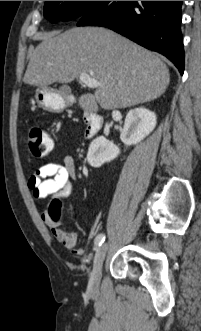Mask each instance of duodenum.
<instances>
[{
    "mask_svg": "<svg viewBox=\"0 0 201 331\" xmlns=\"http://www.w3.org/2000/svg\"><path fill=\"white\" fill-rule=\"evenodd\" d=\"M83 119L86 124L84 136L86 139H92L101 129L103 124V117L99 114L85 111L83 113Z\"/></svg>",
    "mask_w": 201,
    "mask_h": 331,
    "instance_id": "410a0bca",
    "label": "duodenum"
}]
</instances>
